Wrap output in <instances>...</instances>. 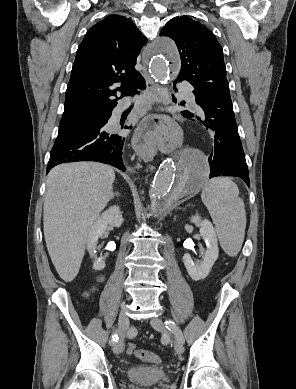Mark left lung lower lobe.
I'll return each instance as SVG.
<instances>
[{
    "label": "left lung lower lobe",
    "instance_id": "0a47b994",
    "mask_svg": "<svg viewBox=\"0 0 296 389\" xmlns=\"http://www.w3.org/2000/svg\"><path fill=\"white\" fill-rule=\"evenodd\" d=\"M196 103L202 108V119L183 111L184 117H196L213 131L212 152L209 157L210 178L215 176L240 177L250 187L249 172L234 117L228 82H195Z\"/></svg>",
    "mask_w": 296,
    "mask_h": 389
}]
</instances>
